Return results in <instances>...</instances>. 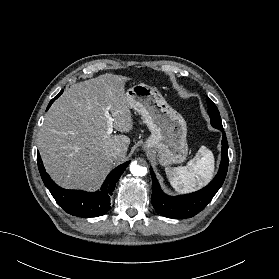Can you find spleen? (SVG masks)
I'll use <instances>...</instances> for the list:
<instances>
[{"label": "spleen", "mask_w": 279, "mask_h": 279, "mask_svg": "<svg viewBox=\"0 0 279 279\" xmlns=\"http://www.w3.org/2000/svg\"><path fill=\"white\" fill-rule=\"evenodd\" d=\"M166 175L171 186L181 193L191 192L202 182H208L214 172L213 153L201 146L197 154L186 166L167 167Z\"/></svg>", "instance_id": "3e777b00"}]
</instances>
